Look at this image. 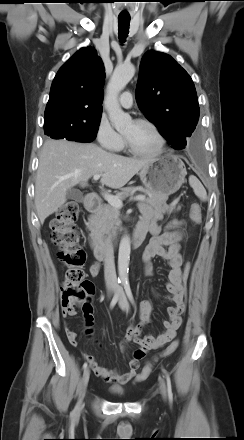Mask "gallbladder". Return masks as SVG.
<instances>
[{"label":"gallbladder","instance_id":"1","mask_svg":"<svg viewBox=\"0 0 244 440\" xmlns=\"http://www.w3.org/2000/svg\"><path fill=\"white\" fill-rule=\"evenodd\" d=\"M66 198L80 202L83 199V194L79 190L72 188L67 191Z\"/></svg>","mask_w":244,"mask_h":440}]
</instances>
